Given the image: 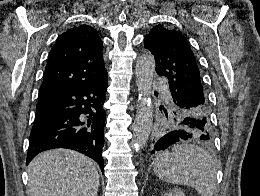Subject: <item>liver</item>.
Here are the masks:
<instances>
[{
	"instance_id": "6515ba94",
	"label": "liver",
	"mask_w": 260,
	"mask_h": 196,
	"mask_svg": "<svg viewBox=\"0 0 260 196\" xmlns=\"http://www.w3.org/2000/svg\"><path fill=\"white\" fill-rule=\"evenodd\" d=\"M29 196H97L95 162L73 150H49L28 166Z\"/></svg>"
}]
</instances>
